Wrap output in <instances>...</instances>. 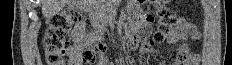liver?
Segmentation results:
<instances>
[{
  "label": "liver",
  "mask_w": 232,
  "mask_h": 65,
  "mask_svg": "<svg viewBox=\"0 0 232 65\" xmlns=\"http://www.w3.org/2000/svg\"><path fill=\"white\" fill-rule=\"evenodd\" d=\"M42 14L46 18H52L54 15L58 14L68 0H40Z\"/></svg>",
  "instance_id": "6515ba94"
}]
</instances>
